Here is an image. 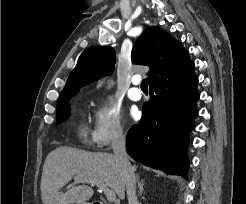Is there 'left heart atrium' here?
I'll list each match as a JSON object with an SVG mask.
<instances>
[{
	"label": "left heart atrium",
	"instance_id": "39dd6f15",
	"mask_svg": "<svg viewBox=\"0 0 246 204\" xmlns=\"http://www.w3.org/2000/svg\"><path fill=\"white\" fill-rule=\"evenodd\" d=\"M137 116H138V112H137V111H133V112H132V117H133V118H136Z\"/></svg>",
	"mask_w": 246,
	"mask_h": 204
}]
</instances>
